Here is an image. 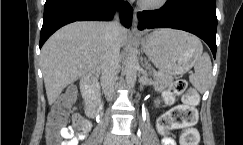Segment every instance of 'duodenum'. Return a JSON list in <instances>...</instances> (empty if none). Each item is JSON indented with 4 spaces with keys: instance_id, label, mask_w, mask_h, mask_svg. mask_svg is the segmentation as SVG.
<instances>
[{
    "instance_id": "duodenum-1",
    "label": "duodenum",
    "mask_w": 243,
    "mask_h": 145,
    "mask_svg": "<svg viewBox=\"0 0 243 145\" xmlns=\"http://www.w3.org/2000/svg\"><path fill=\"white\" fill-rule=\"evenodd\" d=\"M98 71H90L82 80V92L86 101V113L95 118L100 108V94L97 86Z\"/></svg>"
}]
</instances>
